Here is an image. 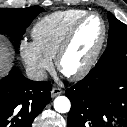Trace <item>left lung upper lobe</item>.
I'll list each match as a JSON object with an SVG mask.
<instances>
[{"mask_svg":"<svg viewBox=\"0 0 127 127\" xmlns=\"http://www.w3.org/2000/svg\"><path fill=\"white\" fill-rule=\"evenodd\" d=\"M108 19L110 28L108 35V46L105 51H108L120 44H127V25L116 19L110 12H108Z\"/></svg>","mask_w":127,"mask_h":127,"instance_id":"5c2ea615","label":"left lung upper lobe"}]
</instances>
